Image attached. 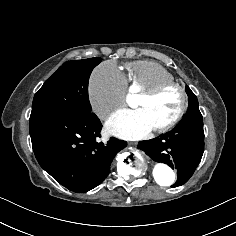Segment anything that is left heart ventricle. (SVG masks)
Returning <instances> with one entry per match:
<instances>
[{
  "mask_svg": "<svg viewBox=\"0 0 236 236\" xmlns=\"http://www.w3.org/2000/svg\"><path fill=\"white\" fill-rule=\"evenodd\" d=\"M128 101L145 112L152 129L168 123L175 117L180 107V97L175 90H168L152 100L130 95Z\"/></svg>",
  "mask_w": 236,
  "mask_h": 236,
  "instance_id": "obj_1",
  "label": "left heart ventricle"
}]
</instances>
